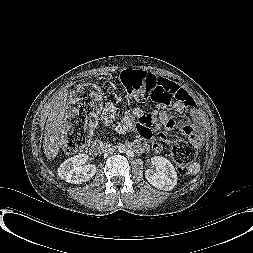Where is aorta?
Masks as SVG:
<instances>
[{"label": "aorta", "instance_id": "1", "mask_svg": "<svg viewBox=\"0 0 253 253\" xmlns=\"http://www.w3.org/2000/svg\"><path fill=\"white\" fill-rule=\"evenodd\" d=\"M115 150L119 153V154H124L127 151V146L125 143H120L115 147Z\"/></svg>", "mask_w": 253, "mask_h": 253}]
</instances>
